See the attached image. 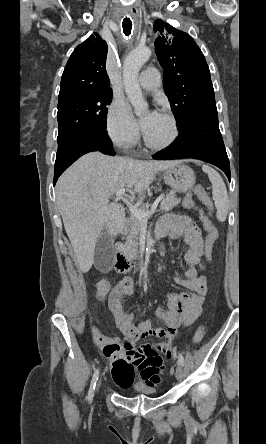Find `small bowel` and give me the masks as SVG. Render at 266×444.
Listing matches in <instances>:
<instances>
[{
  "mask_svg": "<svg viewBox=\"0 0 266 444\" xmlns=\"http://www.w3.org/2000/svg\"><path fill=\"white\" fill-rule=\"evenodd\" d=\"M159 233L167 234L172 239L184 237L188 246L184 254L186 278L175 277L174 281L189 291L170 293L166 308H158L152 318L137 320L133 313L125 310V302L133 293V280L128 279L129 291L120 304L110 308L117 327L125 336L124 340L120 342L96 326L92 327L95 343L112 361V378L122 388L132 385L135 371H138L147 387L160 383V372L164 369L165 361L175 355L172 340L180 328L188 327L197 320L207 291L205 276L199 275L195 268L202 259L203 242L193 220L183 215H166L160 224ZM109 290V281L103 280L98 284L96 298L100 303L105 301ZM153 320L161 321L164 327L154 326ZM144 337H154L159 341L136 348L135 344Z\"/></svg>",
  "mask_w": 266,
  "mask_h": 444,
  "instance_id": "obj_1",
  "label": "small bowel"
}]
</instances>
